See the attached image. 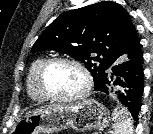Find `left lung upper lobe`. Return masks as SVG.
I'll list each match as a JSON object with an SVG mask.
<instances>
[{"label":"left lung upper lobe","instance_id":"left-lung-upper-lobe-1","mask_svg":"<svg viewBox=\"0 0 153 134\" xmlns=\"http://www.w3.org/2000/svg\"><path fill=\"white\" fill-rule=\"evenodd\" d=\"M140 42L126 9L103 1L61 13L32 47L56 50L85 64L95 86L122 56L135 51Z\"/></svg>","mask_w":153,"mask_h":134}]
</instances>
